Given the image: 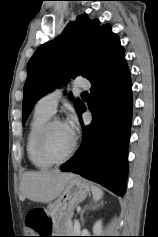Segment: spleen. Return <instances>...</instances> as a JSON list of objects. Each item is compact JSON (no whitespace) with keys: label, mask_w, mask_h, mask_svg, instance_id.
<instances>
[{"label":"spleen","mask_w":158,"mask_h":237,"mask_svg":"<svg viewBox=\"0 0 158 237\" xmlns=\"http://www.w3.org/2000/svg\"><path fill=\"white\" fill-rule=\"evenodd\" d=\"M91 191H92L93 199L95 201H98V200H100L102 198L103 191L100 188H98V187H96L94 185H91Z\"/></svg>","instance_id":"obj_1"}]
</instances>
